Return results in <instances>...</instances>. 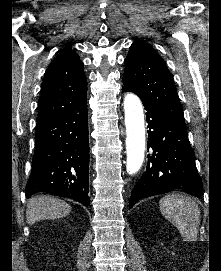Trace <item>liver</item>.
Returning <instances> with one entry per match:
<instances>
[{
    "instance_id": "obj_1",
    "label": "liver",
    "mask_w": 221,
    "mask_h": 271,
    "mask_svg": "<svg viewBox=\"0 0 221 271\" xmlns=\"http://www.w3.org/2000/svg\"><path fill=\"white\" fill-rule=\"evenodd\" d=\"M71 211V205L64 199H56L50 195H36L31 197L27 203V223H35L40 219H57L65 217Z\"/></svg>"
}]
</instances>
